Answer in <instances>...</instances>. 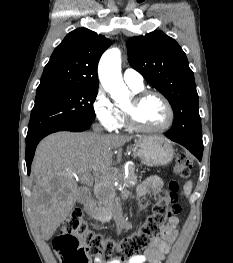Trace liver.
<instances>
[{
	"instance_id": "liver-1",
	"label": "liver",
	"mask_w": 233,
	"mask_h": 263,
	"mask_svg": "<svg viewBox=\"0 0 233 263\" xmlns=\"http://www.w3.org/2000/svg\"><path fill=\"white\" fill-rule=\"evenodd\" d=\"M133 137L92 132H57L37 146L32 163L33 200L42 237L49 240L74 207L79 189L74 179L93 172L96 181L111 179L112 150Z\"/></svg>"
}]
</instances>
